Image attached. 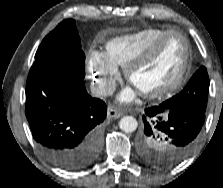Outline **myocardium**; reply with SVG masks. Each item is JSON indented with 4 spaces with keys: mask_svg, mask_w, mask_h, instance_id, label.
I'll return each mask as SVG.
<instances>
[{
    "mask_svg": "<svg viewBox=\"0 0 223 188\" xmlns=\"http://www.w3.org/2000/svg\"><path fill=\"white\" fill-rule=\"evenodd\" d=\"M175 35L181 37L184 42V58L181 67L177 75L165 85L153 91H140L141 95L147 99H161L174 93L182 86L187 77L191 63V45L188 38L180 31H167L151 42L146 48H144L141 53L126 66L124 70L126 80L132 84V75L134 71L140 68L146 61H148L169 37Z\"/></svg>",
    "mask_w": 223,
    "mask_h": 188,
    "instance_id": "obj_1",
    "label": "myocardium"
}]
</instances>
